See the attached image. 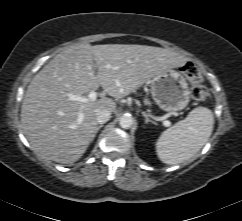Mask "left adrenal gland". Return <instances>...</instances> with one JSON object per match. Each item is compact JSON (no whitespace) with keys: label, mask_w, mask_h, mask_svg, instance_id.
Returning a JSON list of instances; mask_svg holds the SVG:
<instances>
[{"label":"left adrenal gland","mask_w":242,"mask_h":221,"mask_svg":"<svg viewBox=\"0 0 242 221\" xmlns=\"http://www.w3.org/2000/svg\"><path fill=\"white\" fill-rule=\"evenodd\" d=\"M142 115L145 117V123L151 122L152 124L156 125L157 123L149 118V115L146 112H142Z\"/></svg>","instance_id":"left-adrenal-gland-1"}]
</instances>
